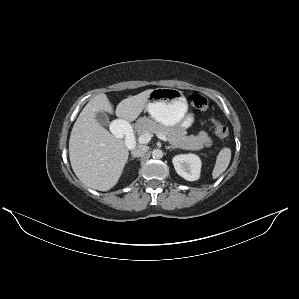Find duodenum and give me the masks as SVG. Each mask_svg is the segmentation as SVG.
I'll return each mask as SVG.
<instances>
[{"mask_svg":"<svg viewBox=\"0 0 299 299\" xmlns=\"http://www.w3.org/2000/svg\"><path fill=\"white\" fill-rule=\"evenodd\" d=\"M116 128L118 130L124 132L126 134V145L129 149H132L136 146L135 142V136L133 132L128 128V126L125 123V120L121 117L117 118Z\"/></svg>","mask_w":299,"mask_h":299,"instance_id":"1","label":"duodenum"}]
</instances>
